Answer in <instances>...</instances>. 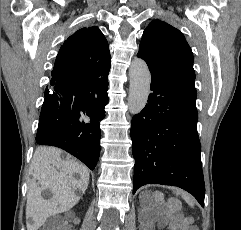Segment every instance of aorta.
<instances>
[{"mask_svg": "<svg viewBox=\"0 0 241 230\" xmlns=\"http://www.w3.org/2000/svg\"><path fill=\"white\" fill-rule=\"evenodd\" d=\"M128 107L131 114L140 113L145 107L150 91L151 75L147 64L135 58L129 68Z\"/></svg>", "mask_w": 241, "mask_h": 230, "instance_id": "obj_1", "label": "aorta"}]
</instances>
